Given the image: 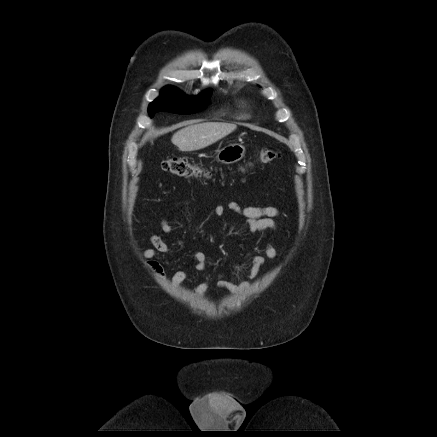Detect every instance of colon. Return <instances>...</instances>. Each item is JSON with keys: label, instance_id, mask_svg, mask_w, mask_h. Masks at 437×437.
I'll list each match as a JSON object with an SVG mask.
<instances>
[{"label": "colon", "instance_id": "obj_1", "mask_svg": "<svg viewBox=\"0 0 437 437\" xmlns=\"http://www.w3.org/2000/svg\"><path fill=\"white\" fill-rule=\"evenodd\" d=\"M281 153L273 148L263 147L258 151V161L269 164L279 159ZM163 171L180 177H204L207 172L198 164L183 157H169L161 162Z\"/></svg>", "mask_w": 437, "mask_h": 437}]
</instances>
